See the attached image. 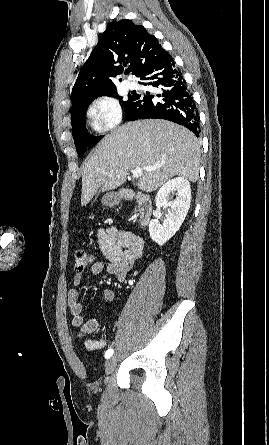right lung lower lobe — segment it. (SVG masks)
Listing matches in <instances>:
<instances>
[{"label":"right lung lower lobe","mask_w":269,"mask_h":445,"mask_svg":"<svg viewBox=\"0 0 269 445\" xmlns=\"http://www.w3.org/2000/svg\"><path fill=\"white\" fill-rule=\"evenodd\" d=\"M143 85L157 88L156 93L135 94L134 103L126 119L161 118L191 130L200 135L199 118L192 94L175 66L170 54L142 73Z\"/></svg>","instance_id":"1"}]
</instances>
